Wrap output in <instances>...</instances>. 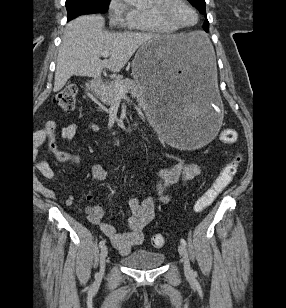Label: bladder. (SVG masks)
<instances>
[{
    "instance_id": "obj_1",
    "label": "bladder",
    "mask_w": 286,
    "mask_h": 308,
    "mask_svg": "<svg viewBox=\"0 0 286 308\" xmlns=\"http://www.w3.org/2000/svg\"><path fill=\"white\" fill-rule=\"evenodd\" d=\"M165 261V255L159 251H151L145 248L133 250L121 257V262L128 268L136 270H150L161 266Z\"/></svg>"
}]
</instances>
